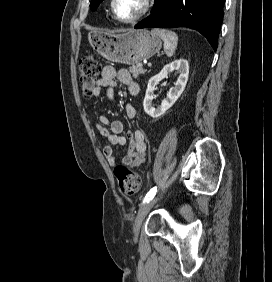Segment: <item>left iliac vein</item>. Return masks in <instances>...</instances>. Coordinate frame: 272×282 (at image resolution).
Here are the masks:
<instances>
[{"mask_svg": "<svg viewBox=\"0 0 272 282\" xmlns=\"http://www.w3.org/2000/svg\"><path fill=\"white\" fill-rule=\"evenodd\" d=\"M158 197L153 198L149 202L143 204L141 208L138 210V213L136 215L134 225H133V233L135 238L138 237L142 222L147 215V213L151 210V208L157 203Z\"/></svg>", "mask_w": 272, "mask_h": 282, "instance_id": "obj_1", "label": "left iliac vein"}]
</instances>
